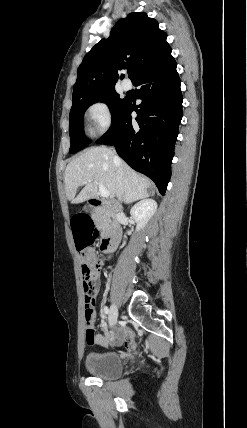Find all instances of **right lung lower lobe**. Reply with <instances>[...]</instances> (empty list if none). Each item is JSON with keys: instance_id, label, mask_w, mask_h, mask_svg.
I'll list each match as a JSON object with an SVG mask.
<instances>
[{"instance_id": "obj_1", "label": "right lung lower lobe", "mask_w": 247, "mask_h": 428, "mask_svg": "<svg viewBox=\"0 0 247 428\" xmlns=\"http://www.w3.org/2000/svg\"><path fill=\"white\" fill-rule=\"evenodd\" d=\"M172 56L140 75L138 106L127 99L110 129L96 143L115 145L118 155L151 178L164 195L171 176V161L182 119L183 97ZM137 117L132 120L131 112Z\"/></svg>"}]
</instances>
